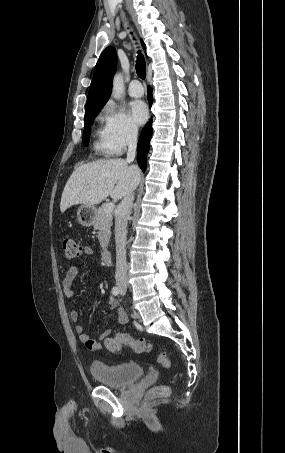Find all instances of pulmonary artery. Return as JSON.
I'll return each mask as SVG.
<instances>
[{"instance_id": "e3ab8cb5", "label": "pulmonary artery", "mask_w": 285, "mask_h": 453, "mask_svg": "<svg viewBox=\"0 0 285 453\" xmlns=\"http://www.w3.org/2000/svg\"><path fill=\"white\" fill-rule=\"evenodd\" d=\"M128 93L131 97L134 98H139L143 96L144 90L139 80L134 79L130 82Z\"/></svg>"}]
</instances>
